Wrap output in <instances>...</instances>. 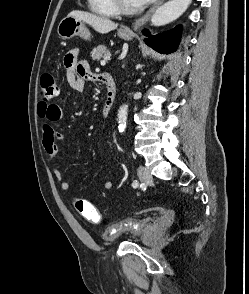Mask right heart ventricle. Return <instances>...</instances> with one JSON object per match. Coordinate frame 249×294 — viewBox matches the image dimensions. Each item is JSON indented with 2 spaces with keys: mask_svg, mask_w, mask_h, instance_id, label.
Segmentation results:
<instances>
[{
  "mask_svg": "<svg viewBox=\"0 0 249 294\" xmlns=\"http://www.w3.org/2000/svg\"><path fill=\"white\" fill-rule=\"evenodd\" d=\"M89 9L98 15L115 17L119 14L112 0H87Z\"/></svg>",
  "mask_w": 249,
  "mask_h": 294,
  "instance_id": "e07e8e85",
  "label": "right heart ventricle"
}]
</instances>
